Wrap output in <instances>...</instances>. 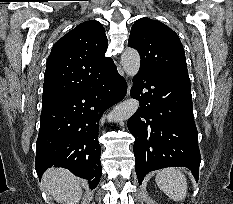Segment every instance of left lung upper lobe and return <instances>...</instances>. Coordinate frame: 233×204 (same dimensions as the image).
<instances>
[{
  "mask_svg": "<svg viewBox=\"0 0 233 204\" xmlns=\"http://www.w3.org/2000/svg\"><path fill=\"white\" fill-rule=\"evenodd\" d=\"M128 46L139 52L140 70L190 85L180 39L163 23L149 18L137 20L131 28Z\"/></svg>",
  "mask_w": 233,
  "mask_h": 204,
  "instance_id": "left-lung-upper-lobe-1",
  "label": "left lung upper lobe"
}]
</instances>
